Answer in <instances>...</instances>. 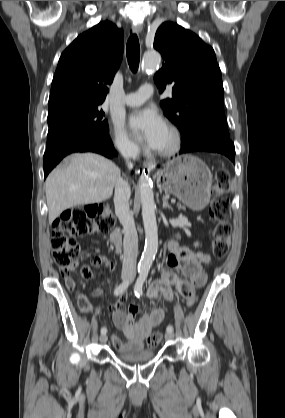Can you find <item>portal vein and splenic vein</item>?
Instances as JSON below:
<instances>
[{
  "label": "portal vein and splenic vein",
  "instance_id": "portal-vein-and-splenic-vein-1",
  "mask_svg": "<svg viewBox=\"0 0 285 418\" xmlns=\"http://www.w3.org/2000/svg\"><path fill=\"white\" fill-rule=\"evenodd\" d=\"M171 202H172V203H175V200H174V199H172V200H171Z\"/></svg>",
  "mask_w": 285,
  "mask_h": 418
}]
</instances>
